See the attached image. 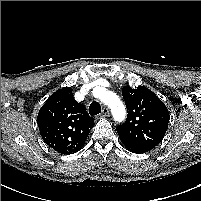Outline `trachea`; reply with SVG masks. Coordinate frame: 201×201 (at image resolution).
<instances>
[{
	"instance_id": "obj_1",
	"label": "trachea",
	"mask_w": 201,
	"mask_h": 201,
	"mask_svg": "<svg viewBox=\"0 0 201 201\" xmlns=\"http://www.w3.org/2000/svg\"><path fill=\"white\" fill-rule=\"evenodd\" d=\"M89 113L91 116L101 113V106L99 102L93 101L89 106Z\"/></svg>"
}]
</instances>
